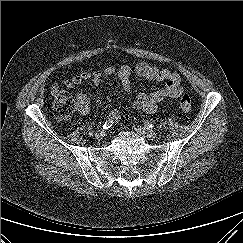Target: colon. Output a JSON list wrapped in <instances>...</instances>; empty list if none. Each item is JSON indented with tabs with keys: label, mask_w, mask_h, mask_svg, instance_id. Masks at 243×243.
<instances>
[{
	"label": "colon",
	"mask_w": 243,
	"mask_h": 243,
	"mask_svg": "<svg viewBox=\"0 0 243 243\" xmlns=\"http://www.w3.org/2000/svg\"><path fill=\"white\" fill-rule=\"evenodd\" d=\"M51 93L54 114L60 119H69L77 106L72 93L59 86H53ZM179 105L184 112L189 113L194 108V100L191 96L185 94L181 97Z\"/></svg>",
	"instance_id": "colon-1"
}]
</instances>
